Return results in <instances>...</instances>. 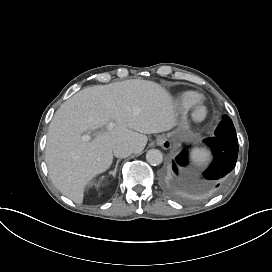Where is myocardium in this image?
Segmentation results:
<instances>
[{
    "mask_svg": "<svg viewBox=\"0 0 272 272\" xmlns=\"http://www.w3.org/2000/svg\"><path fill=\"white\" fill-rule=\"evenodd\" d=\"M203 103V99L201 96H196L195 98L185 102L183 104V118L189 125H202L210 118V113L205 109V114L202 118H197L194 115V110L201 106Z\"/></svg>",
    "mask_w": 272,
    "mask_h": 272,
    "instance_id": "1",
    "label": "myocardium"
}]
</instances>
